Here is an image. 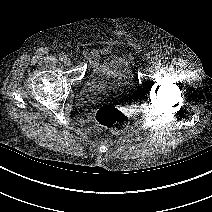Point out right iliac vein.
Listing matches in <instances>:
<instances>
[{
  "mask_svg": "<svg viewBox=\"0 0 212 212\" xmlns=\"http://www.w3.org/2000/svg\"><path fill=\"white\" fill-rule=\"evenodd\" d=\"M64 64L66 65V66H69V65H71V60L69 59V58H65V60H64Z\"/></svg>",
  "mask_w": 212,
  "mask_h": 212,
  "instance_id": "obj_1",
  "label": "right iliac vein"
}]
</instances>
